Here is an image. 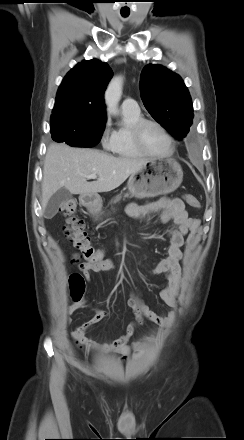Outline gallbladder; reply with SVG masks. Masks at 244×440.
<instances>
[{"instance_id":"bac80fb5","label":"gallbladder","mask_w":244,"mask_h":440,"mask_svg":"<svg viewBox=\"0 0 244 440\" xmlns=\"http://www.w3.org/2000/svg\"><path fill=\"white\" fill-rule=\"evenodd\" d=\"M72 198V194L66 189H59L48 201L45 214L48 217H53L60 206L68 202Z\"/></svg>"}]
</instances>
